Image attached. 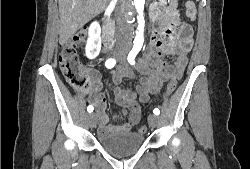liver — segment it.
<instances>
[{
	"label": "liver",
	"mask_w": 250,
	"mask_h": 169,
	"mask_svg": "<svg viewBox=\"0 0 250 169\" xmlns=\"http://www.w3.org/2000/svg\"><path fill=\"white\" fill-rule=\"evenodd\" d=\"M110 0H58L60 42H67L78 28L105 10Z\"/></svg>",
	"instance_id": "6515ba94"
}]
</instances>
